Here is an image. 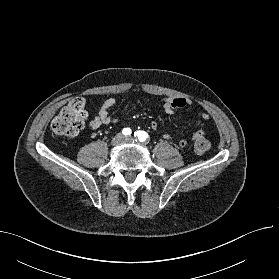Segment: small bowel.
I'll list each match as a JSON object with an SVG mask.
<instances>
[{
	"mask_svg": "<svg viewBox=\"0 0 279 279\" xmlns=\"http://www.w3.org/2000/svg\"><path fill=\"white\" fill-rule=\"evenodd\" d=\"M115 105V100L113 98H109L105 100L100 106L98 113L92 118L89 122V127L92 130H96L102 125H107L111 123H116L117 119L109 114L110 109ZM192 105V102L186 98L179 97H167L162 100L161 109L167 114L171 115L178 109L186 108ZM200 120L197 121L196 125L199 127V130L193 135L191 139H181L179 141V145L182 148L188 147L193 141H195L198 137L203 136L204 131V123L208 119V115L206 113H201ZM157 122L153 121L151 123L152 129H157ZM167 139H171L172 137L167 135Z\"/></svg>",
	"mask_w": 279,
	"mask_h": 279,
	"instance_id": "1",
	"label": "small bowel"
}]
</instances>
